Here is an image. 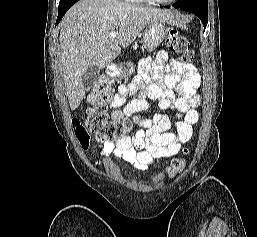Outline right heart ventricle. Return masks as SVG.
<instances>
[{
	"label": "right heart ventricle",
	"mask_w": 257,
	"mask_h": 237,
	"mask_svg": "<svg viewBox=\"0 0 257 237\" xmlns=\"http://www.w3.org/2000/svg\"><path fill=\"white\" fill-rule=\"evenodd\" d=\"M123 1H129V2H140L142 0H123Z\"/></svg>",
	"instance_id": "obj_1"
}]
</instances>
